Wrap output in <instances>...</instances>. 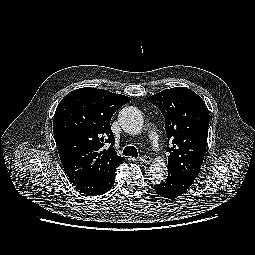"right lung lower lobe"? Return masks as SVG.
<instances>
[{
  "label": "right lung lower lobe",
  "instance_id": "1",
  "mask_svg": "<svg viewBox=\"0 0 255 255\" xmlns=\"http://www.w3.org/2000/svg\"><path fill=\"white\" fill-rule=\"evenodd\" d=\"M115 182V172L100 179L85 182L73 181V185L85 195H102L109 191Z\"/></svg>",
  "mask_w": 255,
  "mask_h": 255
}]
</instances>
